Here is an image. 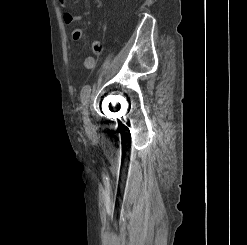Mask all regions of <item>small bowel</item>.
Wrapping results in <instances>:
<instances>
[{"instance_id":"1","label":"small bowel","mask_w":247,"mask_h":245,"mask_svg":"<svg viewBox=\"0 0 247 245\" xmlns=\"http://www.w3.org/2000/svg\"><path fill=\"white\" fill-rule=\"evenodd\" d=\"M58 2L62 7H64L65 4H66V0H58ZM87 9L90 10L89 0H87ZM63 18H64V22L66 24H72V23H74L76 21H79V20L83 19L84 16L73 15L72 13L65 12ZM72 38L75 41L81 40L83 38V31L81 29H78V28L74 29L72 31ZM92 50H93V52L95 54H100L101 51H102L101 43L97 42V41L94 42L92 44ZM82 62H83L84 67L87 68V69H92L95 66V59L92 58V57H87L85 59H82Z\"/></svg>"}]
</instances>
